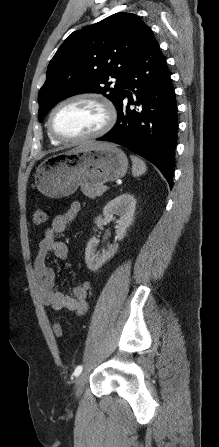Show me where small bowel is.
Listing matches in <instances>:
<instances>
[{
  "instance_id": "c3829d8e",
  "label": "small bowel",
  "mask_w": 219,
  "mask_h": 447,
  "mask_svg": "<svg viewBox=\"0 0 219 447\" xmlns=\"http://www.w3.org/2000/svg\"><path fill=\"white\" fill-rule=\"evenodd\" d=\"M81 209L78 201H73L66 211L57 214L43 234L39 242L37 254L34 259V280L40 301L53 310H67L83 315L88 309V292L91 282L86 280L72 289V295H67L55 289V271L47 265L46 259L49 253H53L58 259L68 258V246L57 239V234L64 232L75 219Z\"/></svg>"
}]
</instances>
